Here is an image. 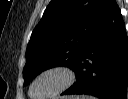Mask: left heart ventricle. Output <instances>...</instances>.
I'll return each mask as SVG.
<instances>
[{
  "instance_id": "obj_1",
  "label": "left heart ventricle",
  "mask_w": 128,
  "mask_h": 99,
  "mask_svg": "<svg viewBox=\"0 0 128 99\" xmlns=\"http://www.w3.org/2000/svg\"><path fill=\"white\" fill-rule=\"evenodd\" d=\"M65 78L60 73H49L42 76L33 87L35 97H43L54 92L64 82Z\"/></svg>"
}]
</instances>
